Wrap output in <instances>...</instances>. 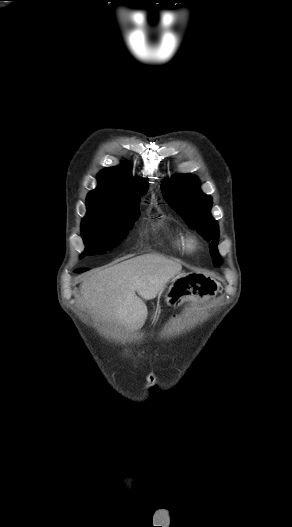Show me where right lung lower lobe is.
<instances>
[{
	"label": "right lung lower lobe",
	"instance_id": "right-lung-lower-lobe-1",
	"mask_svg": "<svg viewBox=\"0 0 292 527\" xmlns=\"http://www.w3.org/2000/svg\"><path fill=\"white\" fill-rule=\"evenodd\" d=\"M76 272H81V271H85V269H77L75 270Z\"/></svg>",
	"mask_w": 292,
	"mask_h": 527
}]
</instances>
